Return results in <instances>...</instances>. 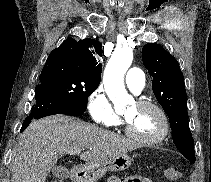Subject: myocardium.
I'll use <instances>...</instances> for the list:
<instances>
[{
	"label": "myocardium",
	"instance_id": "f54148a6",
	"mask_svg": "<svg viewBox=\"0 0 211 182\" xmlns=\"http://www.w3.org/2000/svg\"><path fill=\"white\" fill-rule=\"evenodd\" d=\"M136 105L138 107H148V108L154 109L159 114V116L162 120V129H161L160 133L153 138H149V139L141 138L132 131V129L129 125V122L124 117L123 122H124L125 134L129 138L134 140L135 142L142 144V145H156V144L161 143L168 136V134L170 132V121H169V118H168L166 112L158 104L151 102V101H147V100H138L136 102Z\"/></svg>",
	"mask_w": 211,
	"mask_h": 182
}]
</instances>
